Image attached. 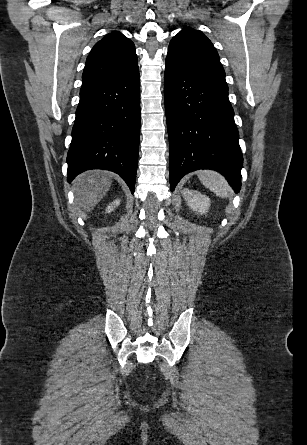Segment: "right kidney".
<instances>
[{
  "label": "right kidney",
  "instance_id": "right-kidney-1",
  "mask_svg": "<svg viewBox=\"0 0 307 445\" xmlns=\"http://www.w3.org/2000/svg\"><path fill=\"white\" fill-rule=\"evenodd\" d=\"M121 200L120 198H115V200H113V202H111V204H108L107 208H106V212H111V210H114V206H118V204H120Z\"/></svg>",
  "mask_w": 307,
  "mask_h": 445
}]
</instances>
